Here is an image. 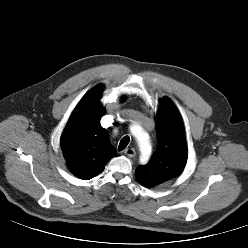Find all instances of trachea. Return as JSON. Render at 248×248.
I'll list each match as a JSON object with an SVG mask.
<instances>
[{"label": "trachea", "instance_id": "3493384b", "mask_svg": "<svg viewBox=\"0 0 248 248\" xmlns=\"http://www.w3.org/2000/svg\"><path fill=\"white\" fill-rule=\"evenodd\" d=\"M129 141H130V137L129 136L123 137L121 139L120 143H119L118 150L119 151L124 150L127 147V145L129 144Z\"/></svg>", "mask_w": 248, "mask_h": 248}]
</instances>
